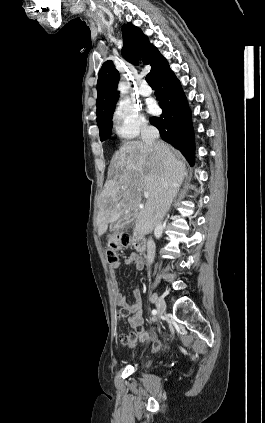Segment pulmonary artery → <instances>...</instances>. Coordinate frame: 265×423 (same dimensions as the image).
<instances>
[{
	"instance_id": "e3ab8cb5",
	"label": "pulmonary artery",
	"mask_w": 265,
	"mask_h": 423,
	"mask_svg": "<svg viewBox=\"0 0 265 423\" xmlns=\"http://www.w3.org/2000/svg\"><path fill=\"white\" fill-rule=\"evenodd\" d=\"M139 93L143 96H149L152 94V89L145 81H143L139 87Z\"/></svg>"
}]
</instances>
